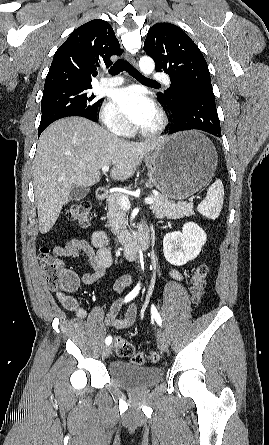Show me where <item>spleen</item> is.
Returning <instances> with one entry per match:
<instances>
[{
  "label": "spleen",
  "instance_id": "obj_1",
  "mask_svg": "<svg viewBox=\"0 0 269 445\" xmlns=\"http://www.w3.org/2000/svg\"><path fill=\"white\" fill-rule=\"evenodd\" d=\"M223 200V183L220 179H216L208 188L205 199L198 205L197 209L203 216L215 220L221 212Z\"/></svg>",
  "mask_w": 269,
  "mask_h": 445
}]
</instances>
